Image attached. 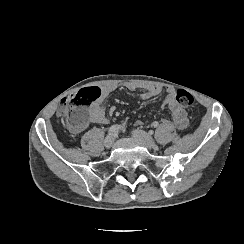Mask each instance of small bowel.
<instances>
[{
    "mask_svg": "<svg viewBox=\"0 0 244 244\" xmlns=\"http://www.w3.org/2000/svg\"><path fill=\"white\" fill-rule=\"evenodd\" d=\"M100 91V98L96 100L93 104L90 105V109L92 112L90 123L96 124H107L108 117L106 114V109L103 105L104 100L113 92L118 90L119 88H125L127 90H135L136 86L132 83H127L124 85H119L117 83H107L101 87H98ZM162 92L160 87H151L148 88L145 92L141 93V97L143 99H152L155 96L159 95ZM166 92L168 96L164 99L162 103L163 108H167L171 111L173 116V123L176 129L183 130L188 125V115L184 108L177 106L173 103L172 95L174 90L172 88H167ZM140 124V122H138ZM165 126L169 127L170 123L168 121L164 122Z\"/></svg>",
    "mask_w": 244,
    "mask_h": 244,
    "instance_id": "c3829d8e",
    "label": "small bowel"
}]
</instances>
